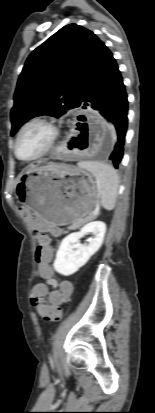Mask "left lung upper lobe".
Here are the masks:
<instances>
[{
    "instance_id": "left-lung-upper-lobe-1",
    "label": "left lung upper lobe",
    "mask_w": 155,
    "mask_h": 413,
    "mask_svg": "<svg viewBox=\"0 0 155 413\" xmlns=\"http://www.w3.org/2000/svg\"><path fill=\"white\" fill-rule=\"evenodd\" d=\"M107 50L92 31L76 24L64 26L36 48L18 79L11 135L35 116L60 117L79 107Z\"/></svg>"
}]
</instances>
